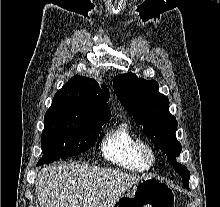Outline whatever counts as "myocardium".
Instances as JSON below:
<instances>
[{"label":"myocardium","instance_id":"myocardium-1","mask_svg":"<svg viewBox=\"0 0 220 207\" xmlns=\"http://www.w3.org/2000/svg\"><path fill=\"white\" fill-rule=\"evenodd\" d=\"M138 153L141 160L147 165L151 166L156 161V153L154 148L145 141H138Z\"/></svg>","mask_w":220,"mask_h":207}]
</instances>
